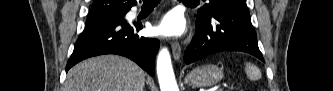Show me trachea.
Instances as JSON below:
<instances>
[{
	"label": "trachea",
	"mask_w": 333,
	"mask_h": 91,
	"mask_svg": "<svg viewBox=\"0 0 333 91\" xmlns=\"http://www.w3.org/2000/svg\"><path fill=\"white\" fill-rule=\"evenodd\" d=\"M193 0H183V2H192ZM144 3H155L158 4L160 0H143Z\"/></svg>",
	"instance_id": "trachea-1"
}]
</instances>
